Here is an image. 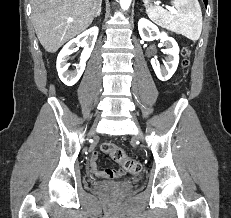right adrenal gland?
I'll return each instance as SVG.
<instances>
[{"instance_id": "obj_1", "label": "right adrenal gland", "mask_w": 231, "mask_h": 218, "mask_svg": "<svg viewBox=\"0 0 231 218\" xmlns=\"http://www.w3.org/2000/svg\"><path fill=\"white\" fill-rule=\"evenodd\" d=\"M100 15H101V5H100V7H99V9H98V12H97V14H96L95 17H98V16H100Z\"/></svg>"}]
</instances>
